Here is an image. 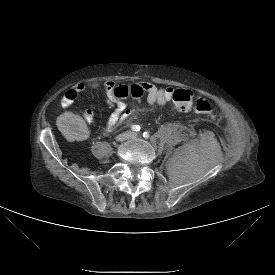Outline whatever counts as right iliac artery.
<instances>
[{
  "mask_svg": "<svg viewBox=\"0 0 275 275\" xmlns=\"http://www.w3.org/2000/svg\"><path fill=\"white\" fill-rule=\"evenodd\" d=\"M131 130L135 131V132H138L140 130V126L139 125H133V126H131Z\"/></svg>",
  "mask_w": 275,
  "mask_h": 275,
  "instance_id": "obj_1",
  "label": "right iliac artery"
}]
</instances>
